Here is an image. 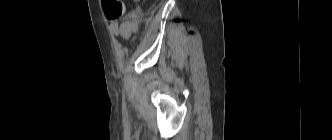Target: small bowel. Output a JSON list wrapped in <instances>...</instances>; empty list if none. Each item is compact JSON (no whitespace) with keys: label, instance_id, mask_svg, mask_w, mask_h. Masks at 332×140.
Returning a JSON list of instances; mask_svg holds the SVG:
<instances>
[{"label":"small bowel","instance_id":"small-bowel-1","mask_svg":"<svg viewBox=\"0 0 332 140\" xmlns=\"http://www.w3.org/2000/svg\"><path fill=\"white\" fill-rule=\"evenodd\" d=\"M135 2L139 0H133ZM138 11L134 10L127 14L122 21H115L111 24V33L117 37H122L124 40H129L138 30Z\"/></svg>","mask_w":332,"mask_h":140}]
</instances>
